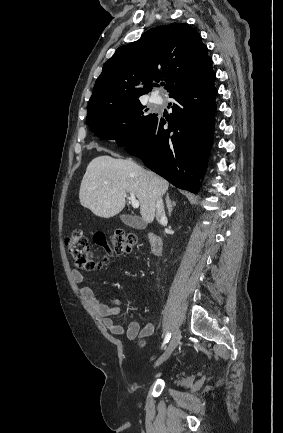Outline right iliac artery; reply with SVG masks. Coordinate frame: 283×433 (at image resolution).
Listing matches in <instances>:
<instances>
[{"mask_svg":"<svg viewBox=\"0 0 283 433\" xmlns=\"http://www.w3.org/2000/svg\"><path fill=\"white\" fill-rule=\"evenodd\" d=\"M170 338H171V333H170V332H167V334H166V336H165V338H164V341H163L162 347H163L166 343L169 342Z\"/></svg>","mask_w":283,"mask_h":433,"instance_id":"1","label":"right iliac artery"}]
</instances>
